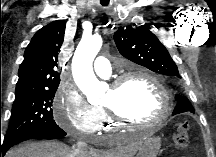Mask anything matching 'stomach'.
<instances>
[{
  "mask_svg": "<svg viewBox=\"0 0 216 157\" xmlns=\"http://www.w3.org/2000/svg\"><path fill=\"white\" fill-rule=\"evenodd\" d=\"M161 146L158 137H147L141 143L136 157H156Z\"/></svg>",
  "mask_w": 216,
  "mask_h": 157,
  "instance_id": "stomach-1",
  "label": "stomach"
}]
</instances>
